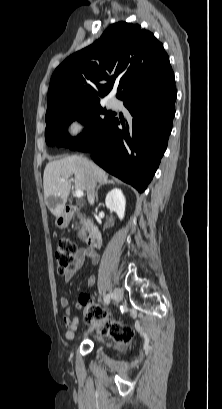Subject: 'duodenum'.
<instances>
[{"label":"duodenum","mask_w":222,"mask_h":409,"mask_svg":"<svg viewBox=\"0 0 222 409\" xmlns=\"http://www.w3.org/2000/svg\"><path fill=\"white\" fill-rule=\"evenodd\" d=\"M78 210L77 206L69 205L66 207V214L72 215ZM87 245L90 249H99L102 246V235L99 228L91 224L87 236Z\"/></svg>","instance_id":"obj_1"}]
</instances>
